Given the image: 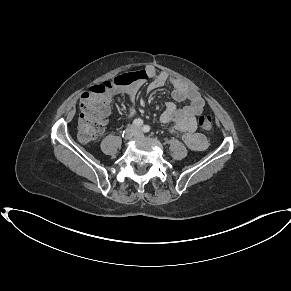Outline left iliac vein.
I'll return each instance as SVG.
<instances>
[{
	"label": "left iliac vein",
	"mask_w": 291,
	"mask_h": 291,
	"mask_svg": "<svg viewBox=\"0 0 291 291\" xmlns=\"http://www.w3.org/2000/svg\"><path fill=\"white\" fill-rule=\"evenodd\" d=\"M136 130H137L136 135H140L141 134V129L140 128H136Z\"/></svg>",
	"instance_id": "left-iliac-vein-1"
}]
</instances>
